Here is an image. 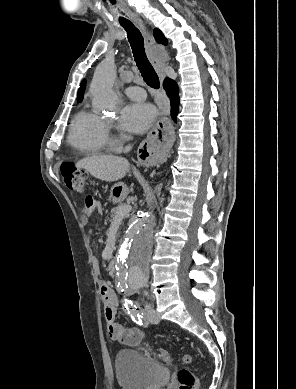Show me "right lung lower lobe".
<instances>
[{
  "mask_svg": "<svg viewBox=\"0 0 296 389\" xmlns=\"http://www.w3.org/2000/svg\"><path fill=\"white\" fill-rule=\"evenodd\" d=\"M164 89L166 90L170 102H171V117L176 122L177 121V115L179 112V89L174 80H171L169 78L164 80Z\"/></svg>",
  "mask_w": 296,
  "mask_h": 389,
  "instance_id": "right-lung-lower-lobe-1",
  "label": "right lung lower lobe"
}]
</instances>
